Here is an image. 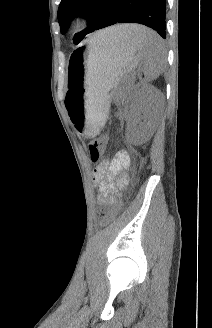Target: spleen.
<instances>
[{
  "mask_svg": "<svg viewBox=\"0 0 212 328\" xmlns=\"http://www.w3.org/2000/svg\"><path fill=\"white\" fill-rule=\"evenodd\" d=\"M134 32L135 44L141 50L143 57L142 71L145 81H153L164 70L166 62L164 43L159 35L145 27L135 25Z\"/></svg>",
  "mask_w": 212,
  "mask_h": 328,
  "instance_id": "spleen-1",
  "label": "spleen"
}]
</instances>
